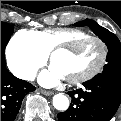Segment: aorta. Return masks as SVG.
<instances>
[{"mask_svg": "<svg viewBox=\"0 0 121 121\" xmlns=\"http://www.w3.org/2000/svg\"><path fill=\"white\" fill-rule=\"evenodd\" d=\"M53 106L60 111H65L69 107V99L63 93L54 95Z\"/></svg>", "mask_w": 121, "mask_h": 121, "instance_id": "aorta-1", "label": "aorta"}]
</instances>
